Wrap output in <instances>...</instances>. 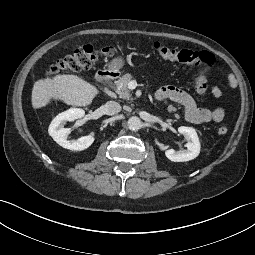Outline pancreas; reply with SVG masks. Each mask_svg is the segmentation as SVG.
<instances>
[{"instance_id":"pancreas-1","label":"pancreas","mask_w":255,"mask_h":255,"mask_svg":"<svg viewBox=\"0 0 255 255\" xmlns=\"http://www.w3.org/2000/svg\"><path fill=\"white\" fill-rule=\"evenodd\" d=\"M132 79H133V76L131 74H125L115 82L116 92L120 98L126 99V100H132L130 90L128 89V84L130 81H132ZM165 104H167V102H165ZM167 110L170 113H174V116L177 119L180 118V115L175 113L177 111V108L174 105L172 104L168 105Z\"/></svg>"}]
</instances>
